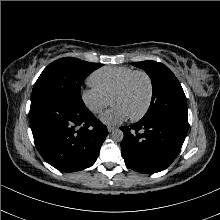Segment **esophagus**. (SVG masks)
Wrapping results in <instances>:
<instances>
[{
	"label": "esophagus",
	"mask_w": 220,
	"mask_h": 220,
	"mask_svg": "<svg viewBox=\"0 0 220 220\" xmlns=\"http://www.w3.org/2000/svg\"><path fill=\"white\" fill-rule=\"evenodd\" d=\"M107 129H108V131L111 133V132H113L114 130H116L117 128H116V127H113V126H108Z\"/></svg>",
	"instance_id": "esophagus-1"
}]
</instances>
